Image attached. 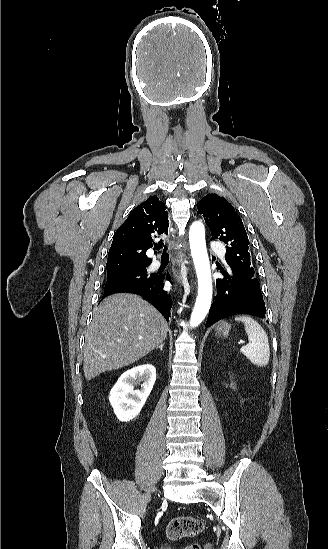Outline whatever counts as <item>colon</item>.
<instances>
[{
  "label": "colon",
  "instance_id": "colon-1",
  "mask_svg": "<svg viewBox=\"0 0 328 549\" xmlns=\"http://www.w3.org/2000/svg\"><path fill=\"white\" fill-rule=\"evenodd\" d=\"M204 530V523L192 516H179L174 518L167 527V537L172 541L184 538H191L201 534ZM183 549H200L196 543L189 544Z\"/></svg>",
  "mask_w": 328,
  "mask_h": 549
}]
</instances>
